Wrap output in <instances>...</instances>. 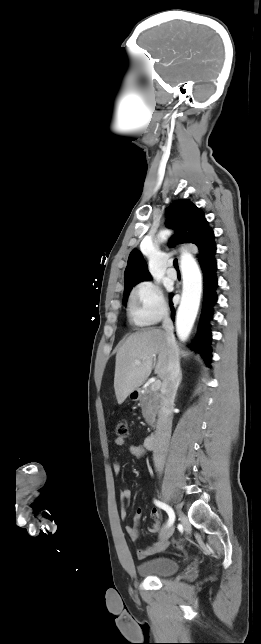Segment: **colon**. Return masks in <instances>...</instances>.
<instances>
[{
	"instance_id": "1",
	"label": "colon",
	"mask_w": 261,
	"mask_h": 644,
	"mask_svg": "<svg viewBox=\"0 0 261 644\" xmlns=\"http://www.w3.org/2000/svg\"><path fill=\"white\" fill-rule=\"evenodd\" d=\"M116 435H117V438L124 439V440L128 437L129 430H128V426H127L126 423L119 422L117 424V426H116ZM174 546L176 548H178V549L182 548L183 547L182 540H180V539L175 540L174 541Z\"/></svg>"
}]
</instances>
